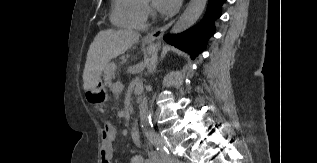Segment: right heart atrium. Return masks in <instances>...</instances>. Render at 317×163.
Returning <instances> with one entry per match:
<instances>
[{"label": "right heart atrium", "mask_w": 317, "mask_h": 163, "mask_svg": "<svg viewBox=\"0 0 317 163\" xmlns=\"http://www.w3.org/2000/svg\"><path fill=\"white\" fill-rule=\"evenodd\" d=\"M145 13H146V15L148 14V10H147V8L145 7Z\"/></svg>", "instance_id": "1"}]
</instances>
